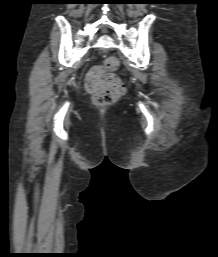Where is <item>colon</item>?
I'll return each mask as SVG.
<instances>
[{"label": "colon", "instance_id": "5ec220e1", "mask_svg": "<svg viewBox=\"0 0 218 257\" xmlns=\"http://www.w3.org/2000/svg\"><path fill=\"white\" fill-rule=\"evenodd\" d=\"M118 67V59L108 57L104 62L103 68L93 67L87 73L86 87L93 95L96 104H112L124 93L125 86L123 82L113 74ZM104 71H107V73Z\"/></svg>", "mask_w": 218, "mask_h": 257}]
</instances>
